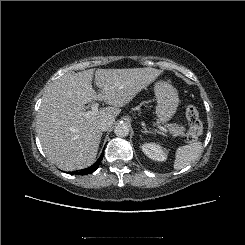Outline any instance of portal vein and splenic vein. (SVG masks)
Here are the masks:
<instances>
[{"mask_svg": "<svg viewBox=\"0 0 245 245\" xmlns=\"http://www.w3.org/2000/svg\"><path fill=\"white\" fill-rule=\"evenodd\" d=\"M98 106H99L98 103H94V104L91 106V110H90V111L82 112V113H80V115L83 116V117L89 118V117L95 115V114L98 112ZM158 128H159L161 131L165 132V133L168 132V130H167L166 128L162 127V126H158Z\"/></svg>", "mask_w": 245, "mask_h": 245, "instance_id": "portal-vein-and-splenic-vein-1", "label": "portal vein and splenic vein"}]
</instances>
